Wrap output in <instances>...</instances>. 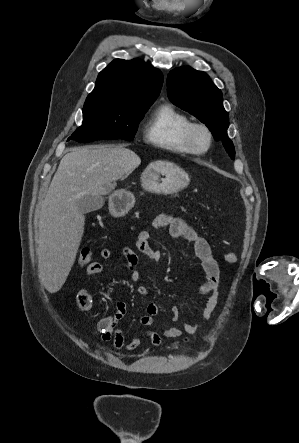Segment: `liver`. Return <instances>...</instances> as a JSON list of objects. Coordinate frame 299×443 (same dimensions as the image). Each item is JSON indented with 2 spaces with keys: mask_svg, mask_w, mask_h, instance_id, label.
<instances>
[{
  "mask_svg": "<svg viewBox=\"0 0 299 443\" xmlns=\"http://www.w3.org/2000/svg\"><path fill=\"white\" fill-rule=\"evenodd\" d=\"M140 164V157L124 146L79 147L62 158L39 216L38 272L48 292L62 288L76 259L85 225L78 199L108 194L113 182Z\"/></svg>",
  "mask_w": 299,
  "mask_h": 443,
  "instance_id": "liver-1",
  "label": "liver"
}]
</instances>
